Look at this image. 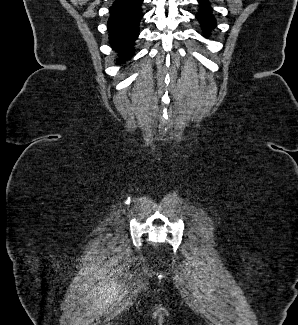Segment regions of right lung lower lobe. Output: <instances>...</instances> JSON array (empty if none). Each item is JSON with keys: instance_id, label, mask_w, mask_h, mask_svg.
Instances as JSON below:
<instances>
[{"instance_id": "right-lung-lower-lobe-1", "label": "right lung lower lobe", "mask_w": 298, "mask_h": 325, "mask_svg": "<svg viewBox=\"0 0 298 325\" xmlns=\"http://www.w3.org/2000/svg\"><path fill=\"white\" fill-rule=\"evenodd\" d=\"M142 2L143 0H115L110 7L109 39L122 59L128 60L133 54V45L139 35V22L143 16Z\"/></svg>"}]
</instances>
